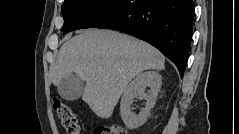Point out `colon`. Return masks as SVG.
<instances>
[{
	"mask_svg": "<svg viewBox=\"0 0 239 134\" xmlns=\"http://www.w3.org/2000/svg\"><path fill=\"white\" fill-rule=\"evenodd\" d=\"M54 110L57 112L59 118L67 130L68 134H79L80 127L78 118L72 109L62 102L59 98H54L53 101ZM94 134H126L124 128L118 125L111 126H97L94 130Z\"/></svg>",
	"mask_w": 239,
	"mask_h": 134,
	"instance_id": "5ec220e1",
	"label": "colon"
}]
</instances>
